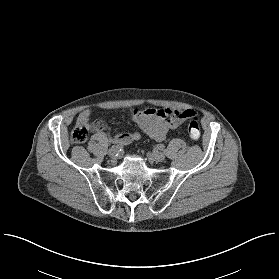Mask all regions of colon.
Instances as JSON below:
<instances>
[{"instance_id":"colon-1","label":"colon","mask_w":279,"mask_h":279,"mask_svg":"<svg viewBox=\"0 0 279 279\" xmlns=\"http://www.w3.org/2000/svg\"><path fill=\"white\" fill-rule=\"evenodd\" d=\"M188 134L193 141L200 138V127L198 122L193 119L188 126ZM89 135V128L84 125H76L71 134V140L74 144L84 143Z\"/></svg>"}]
</instances>
